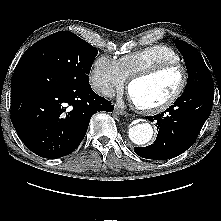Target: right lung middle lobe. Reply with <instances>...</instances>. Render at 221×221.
<instances>
[{
  "instance_id": "obj_1",
  "label": "right lung middle lobe",
  "mask_w": 221,
  "mask_h": 221,
  "mask_svg": "<svg viewBox=\"0 0 221 221\" xmlns=\"http://www.w3.org/2000/svg\"><path fill=\"white\" fill-rule=\"evenodd\" d=\"M98 50L75 34L54 33L33 44L21 59L50 66L72 79L89 83V72Z\"/></svg>"
}]
</instances>
